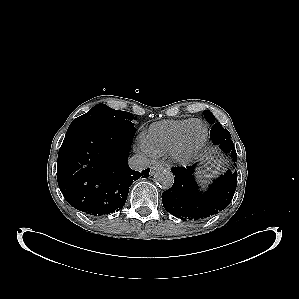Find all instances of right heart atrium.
Instances as JSON below:
<instances>
[{"label": "right heart atrium", "mask_w": 299, "mask_h": 299, "mask_svg": "<svg viewBox=\"0 0 299 299\" xmlns=\"http://www.w3.org/2000/svg\"><path fill=\"white\" fill-rule=\"evenodd\" d=\"M139 149L140 151L144 154V155H148L151 156L153 155V153L151 152V150L147 147V145L145 144L144 140L141 138L140 142H139Z\"/></svg>", "instance_id": "right-heart-atrium-1"}]
</instances>
